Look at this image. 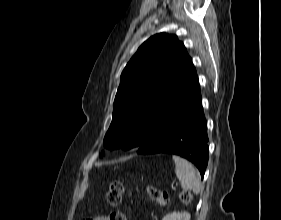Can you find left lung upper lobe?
I'll use <instances>...</instances> for the list:
<instances>
[{
	"label": "left lung upper lobe",
	"mask_w": 281,
	"mask_h": 220,
	"mask_svg": "<svg viewBox=\"0 0 281 220\" xmlns=\"http://www.w3.org/2000/svg\"><path fill=\"white\" fill-rule=\"evenodd\" d=\"M195 74L186 48L175 35L150 37L121 74L104 146L126 150L149 142Z\"/></svg>",
	"instance_id": "5c2ea615"
}]
</instances>
